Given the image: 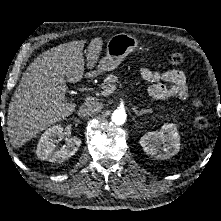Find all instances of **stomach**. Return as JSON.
<instances>
[{
	"mask_svg": "<svg viewBox=\"0 0 221 221\" xmlns=\"http://www.w3.org/2000/svg\"><path fill=\"white\" fill-rule=\"evenodd\" d=\"M138 40L130 34L119 33L107 42L106 56L97 65L94 74H101L117 68L125 57L138 47Z\"/></svg>",
	"mask_w": 221,
	"mask_h": 221,
	"instance_id": "obj_1",
	"label": "stomach"
}]
</instances>
